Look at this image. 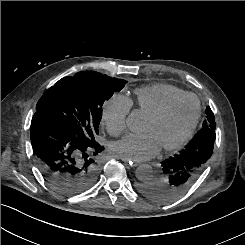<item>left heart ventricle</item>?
I'll return each mask as SVG.
<instances>
[{
    "instance_id": "b2bd125f",
    "label": "left heart ventricle",
    "mask_w": 245,
    "mask_h": 245,
    "mask_svg": "<svg viewBox=\"0 0 245 245\" xmlns=\"http://www.w3.org/2000/svg\"><path fill=\"white\" fill-rule=\"evenodd\" d=\"M197 103L194 98H186L173 105L157 120L145 118L142 131L149 132L159 147L177 142L187 131L196 115Z\"/></svg>"
}]
</instances>
